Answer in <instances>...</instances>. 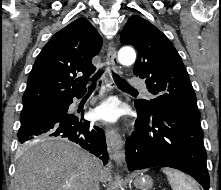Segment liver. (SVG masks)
<instances>
[{
  "mask_svg": "<svg viewBox=\"0 0 221 190\" xmlns=\"http://www.w3.org/2000/svg\"><path fill=\"white\" fill-rule=\"evenodd\" d=\"M20 155L14 190H86L91 165L98 160L70 141L47 138L23 146ZM100 175L108 181L107 169L101 167Z\"/></svg>",
  "mask_w": 221,
  "mask_h": 190,
  "instance_id": "1",
  "label": "liver"
}]
</instances>
